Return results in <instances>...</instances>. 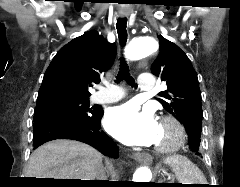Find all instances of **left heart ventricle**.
I'll return each instance as SVG.
<instances>
[{"instance_id": "obj_1", "label": "left heart ventricle", "mask_w": 240, "mask_h": 187, "mask_svg": "<svg viewBox=\"0 0 240 187\" xmlns=\"http://www.w3.org/2000/svg\"><path fill=\"white\" fill-rule=\"evenodd\" d=\"M171 130L167 127H162L160 125V131H159V136L157 139V142L155 143L156 145L158 144H163L167 141H169V139L171 138Z\"/></svg>"}]
</instances>
